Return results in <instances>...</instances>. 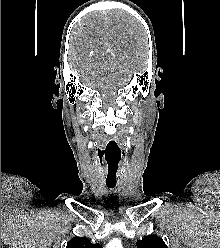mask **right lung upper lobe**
<instances>
[{"instance_id":"obj_1","label":"right lung upper lobe","mask_w":220,"mask_h":248,"mask_svg":"<svg viewBox=\"0 0 220 248\" xmlns=\"http://www.w3.org/2000/svg\"><path fill=\"white\" fill-rule=\"evenodd\" d=\"M66 248H101V246L98 243L92 244L85 237H76L67 243Z\"/></svg>"}]
</instances>
